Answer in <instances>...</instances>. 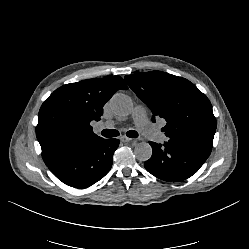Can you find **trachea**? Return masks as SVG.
Masks as SVG:
<instances>
[{
	"label": "trachea",
	"instance_id": "trachea-1",
	"mask_svg": "<svg viewBox=\"0 0 249 249\" xmlns=\"http://www.w3.org/2000/svg\"><path fill=\"white\" fill-rule=\"evenodd\" d=\"M102 136L106 137V138H112V137H116L119 136V132L117 130H110V129H104L101 132ZM126 135L130 138H137L138 137V133L135 130H129Z\"/></svg>",
	"mask_w": 249,
	"mask_h": 249
}]
</instances>
